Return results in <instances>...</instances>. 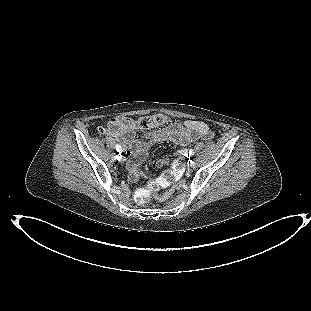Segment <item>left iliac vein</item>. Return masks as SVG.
I'll return each mask as SVG.
<instances>
[{
	"instance_id": "obj_1",
	"label": "left iliac vein",
	"mask_w": 311,
	"mask_h": 311,
	"mask_svg": "<svg viewBox=\"0 0 311 311\" xmlns=\"http://www.w3.org/2000/svg\"><path fill=\"white\" fill-rule=\"evenodd\" d=\"M195 164H196V163H195L194 159H192V160L189 161V166H190V167H194Z\"/></svg>"
}]
</instances>
